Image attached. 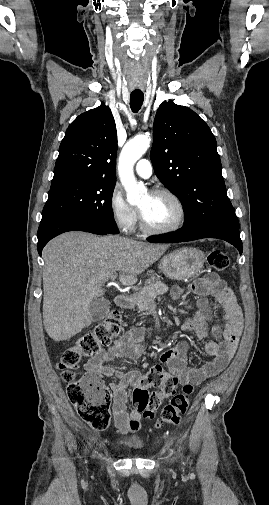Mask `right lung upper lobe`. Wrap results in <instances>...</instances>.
Wrapping results in <instances>:
<instances>
[{
	"instance_id": "obj_1",
	"label": "right lung upper lobe",
	"mask_w": 269,
	"mask_h": 505,
	"mask_svg": "<svg viewBox=\"0 0 269 505\" xmlns=\"http://www.w3.org/2000/svg\"><path fill=\"white\" fill-rule=\"evenodd\" d=\"M117 132L111 110L100 105L79 115L59 147L51 188L76 182H115Z\"/></svg>"
}]
</instances>
